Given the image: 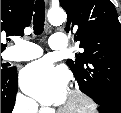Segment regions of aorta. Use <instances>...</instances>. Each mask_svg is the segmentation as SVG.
<instances>
[{
  "mask_svg": "<svg viewBox=\"0 0 121 113\" xmlns=\"http://www.w3.org/2000/svg\"><path fill=\"white\" fill-rule=\"evenodd\" d=\"M47 16H48V21L52 25H60L66 19V13L64 12L63 9L60 8L50 9Z\"/></svg>",
  "mask_w": 121,
  "mask_h": 113,
  "instance_id": "762f6f07",
  "label": "aorta"
}]
</instances>
